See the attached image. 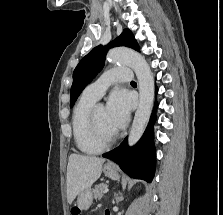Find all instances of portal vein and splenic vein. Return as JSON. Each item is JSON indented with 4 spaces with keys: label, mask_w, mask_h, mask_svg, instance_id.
I'll return each mask as SVG.
<instances>
[{
    "label": "portal vein and splenic vein",
    "mask_w": 223,
    "mask_h": 215,
    "mask_svg": "<svg viewBox=\"0 0 223 215\" xmlns=\"http://www.w3.org/2000/svg\"><path fill=\"white\" fill-rule=\"evenodd\" d=\"M111 189L109 187L103 188V194H107Z\"/></svg>",
    "instance_id": "obj_1"
}]
</instances>
